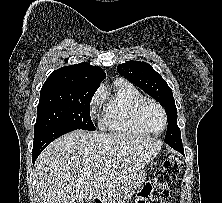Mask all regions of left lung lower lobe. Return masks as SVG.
Instances as JSON below:
<instances>
[{
    "label": "left lung lower lobe",
    "instance_id": "obj_1",
    "mask_svg": "<svg viewBox=\"0 0 222 203\" xmlns=\"http://www.w3.org/2000/svg\"><path fill=\"white\" fill-rule=\"evenodd\" d=\"M168 145L184 155V149H183L182 143L181 144H168Z\"/></svg>",
    "mask_w": 222,
    "mask_h": 203
}]
</instances>
